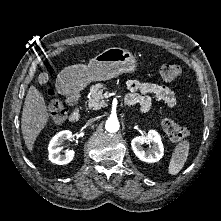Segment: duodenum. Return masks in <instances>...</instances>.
<instances>
[{"instance_id": "410a0bca", "label": "duodenum", "mask_w": 221, "mask_h": 221, "mask_svg": "<svg viewBox=\"0 0 221 221\" xmlns=\"http://www.w3.org/2000/svg\"><path fill=\"white\" fill-rule=\"evenodd\" d=\"M61 93L68 99L69 104L74 108L71 115L70 120L72 122H77L81 116V107L79 106L80 103V96L73 91L72 88L63 85L60 87Z\"/></svg>"}]
</instances>
